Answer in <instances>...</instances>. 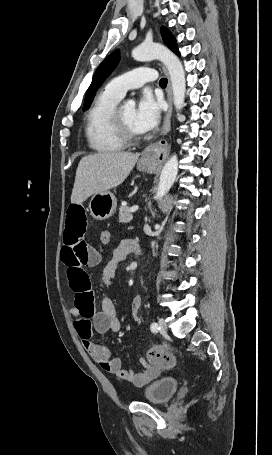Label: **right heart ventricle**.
Listing matches in <instances>:
<instances>
[{
    "instance_id": "right-heart-ventricle-1",
    "label": "right heart ventricle",
    "mask_w": 272,
    "mask_h": 455,
    "mask_svg": "<svg viewBox=\"0 0 272 455\" xmlns=\"http://www.w3.org/2000/svg\"><path fill=\"white\" fill-rule=\"evenodd\" d=\"M121 98L107 87L101 91L85 118V136L91 150L101 154L117 153L124 149L114 133L112 114Z\"/></svg>"
}]
</instances>
